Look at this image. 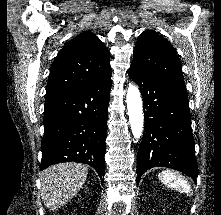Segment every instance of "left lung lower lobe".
I'll return each mask as SVG.
<instances>
[{"instance_id": "obj_1", "label": "left lung lower lobe", "mask_w": 221, "mask_h": 215, "mask_svg": "<svg viewBox=\"0 0 221 215\" xmlns=\"http://www.w3.org/2000/svg\"><path fill=\"white\" fill-rule=\"evenodd\" d=\"M129 78L140 87L145 116L136 182L155 166L178 170L196 181L198 167L186 90L135 67H130Z\"/></svg>"}]
</instances>
